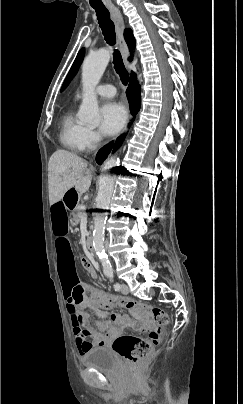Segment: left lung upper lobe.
I'll use <instances>...</instances> for the list:
<instances>
[{
    "instance_id": "5c2ea615",
    "label": "left lung upper lobe",
    "mask_w": 243,
    "mask_h": 404,
    "mask_svg": "<svg viewBox=\"0 0 243 404\" xmlns=\"http://www.w3.org/2000/svg\"><path fill=\"white\" fill-rule=\"evenodd\" d=\"M85 54V49L82 48L78 54L77 57L68 73V75L66 76L64 83L62 85L61 91H63L69 84V82L72 80V78L75 76V74L77 73L79 66L81 65L82 61H83V57Z\"/></svg>"
}]
</instances>
